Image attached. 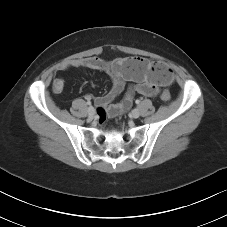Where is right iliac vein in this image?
Returning a JSON list of instances; mask_svg holds the SVG:
<instances>
[{"label":"right iliac vein","instance_id":"obj_1","mask_svg":"<svg viewBox=\"0 0 227 227\" xmlns=\"http://www.w3.org/2000/svg\"><path fill=\"white\" fill-rule=\"evenodd\" d=\"M88 115H89L90 117H94V115H95V110H94L93 107L88 108Z\"/></svg>","mask_w":227,"mask_h":227}]
</instances>
